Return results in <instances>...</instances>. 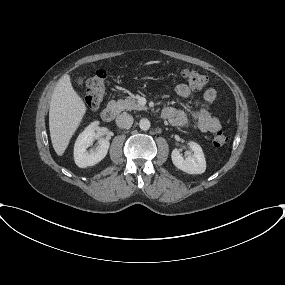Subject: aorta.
<instances>
[{"instance_id":"aorta-1","label":"aorta","mask_w":285,"mask_h":285,"mask_svg":"<svg viewBox=\"0 0 285 285\" xmlns=\"http://www.w3.org/2000/svg\"><path fill=\"white\" fill-rule=\"evenodd\" d=\"M139 127L141 130H148L150 128V121L147 118H143L139 122Z\"/></svg>"}]
</instances>
